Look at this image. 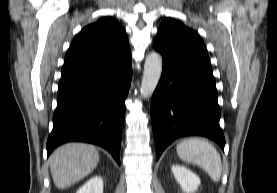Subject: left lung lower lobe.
I'll use <instances>...</instances> for the list:
<instances>
[{"label": "left lung lower lobe", "instance_id": "obj_1", "mask_svg": "<svg viewBox=\"0 0 277 193\" xmlns=\"http://www.w3.org/2000/svg\"><path fill=\"white\" fill-rule=\"evenodd\" d=\"M153 46L162 54L164 64L151 101L157 159L172 141L183 136H205L224 149L211 65L176 59L159 45L154 43Z\"/></svg>", "mask_w": 277, "mask_h": 193}]
</instances>
